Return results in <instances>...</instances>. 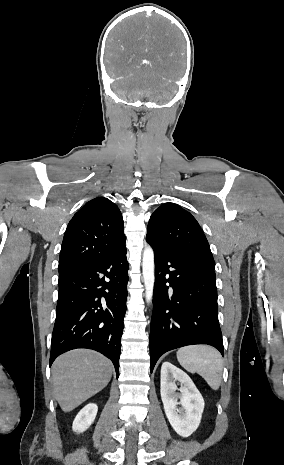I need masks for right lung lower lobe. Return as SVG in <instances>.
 <instances>
[{
  "label": "right lung lower lobe",
  "instance_id": "1",
  "mask_svg": "<svg viewBox=\"0 0 284 465\" xmlns=\"http://www.w3.org/2000/svg\"><path fill=\"white\" fill-rule=\"evenodd\" d=\"M126 247L101 261L59 277L50 366L76 348L96 350L112 360L117 377L126 312Z\"/></svg>",
  "mask_w": 284,
  "mask_h": 465
}]
</instances>
